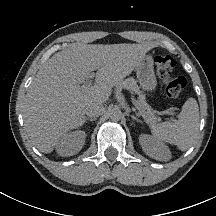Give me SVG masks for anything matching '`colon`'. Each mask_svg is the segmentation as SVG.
<instances>
[{"mask_svg": "<svg viewBox=\"0 0 216 216\" xmlns=\"http://www.w3.org/2000/svg\"><path fill=\"white\" fill-rule=\"evenodd\" d=\"M176 61L169 55H160L155 58V66L159 77L166 85V93L171 98L178 97L186 86L183 76L175 73Z\"/></svg>", "mask_w": 216, "mask_h": 216, "instance_id": "colon-1", "label": "colon"}]
</instances>
